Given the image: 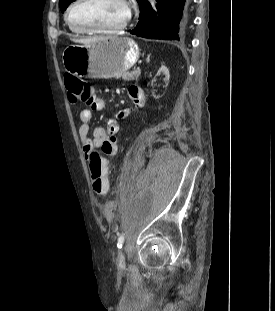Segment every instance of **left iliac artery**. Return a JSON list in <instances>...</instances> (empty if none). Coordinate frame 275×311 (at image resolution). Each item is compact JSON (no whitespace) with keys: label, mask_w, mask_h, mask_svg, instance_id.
Instances as JSON below:
<instances>
[{"label":"left iliac artery","mask_w":275,"mask_h":311,"mask_svg":"<svg viewBox=\"0 0 275 311\" xmlns=\"http://www.w3.org/2000/svg\"><path fill=\"white\" fill-rule=\"evenodd\" d=\"M123 243H124V236L121 235V236L118 238L117 247H118V248H122Z\"/></svg>","instance_id":"left-iliac-artery-1"}]
</instances>
